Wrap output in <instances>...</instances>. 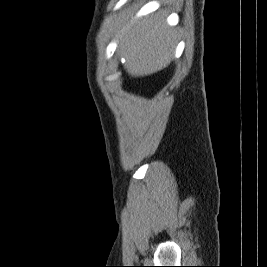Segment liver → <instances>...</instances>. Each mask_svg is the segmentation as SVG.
<instances>
[{
	"label": "liver",
	"mask_w": 267,
	"mask_h": 267,
	"mask_svg": "<svg viewBox=\"0 0 267 267\" xmlns=\"http://www.w3.org/2000/svg\"><path fill=\"white\" fill-rule=\"evenodd\" d=\"M137 5L131 7L136 11ZM124 27V26H123ZM176 46V32L165 26L163 13L149 15L125 31L118 44V54L132 77L151 75L166 68Z\"/></svg>",
	"instance_id": "6515ba94"
}]
</instances>
